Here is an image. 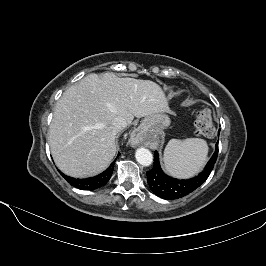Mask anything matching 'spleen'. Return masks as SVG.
<instances>
[{"instance_id":"1","label":"spleen","mask_w":266,"mask_h":266,"mask_svg":"<svg viewBox=\"0 0 266 266\" xmlns=\"http://www.w3.org/2000/svg\"><path fill=\"white\" fill-rule=\"evenodd\" d=\"M208 149L207 142L203 139H171L164 151L165 169L180 178L192 177L206 163Z\"/></svg>"}]
</instances>
